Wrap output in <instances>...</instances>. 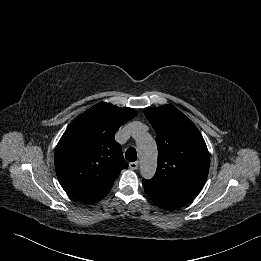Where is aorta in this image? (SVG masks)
<instances>
[{
  "label": "aorta",
  "instance_id": "762f6f07",
  "mask_svg": "<svg viewBox=\"0 0 261 261\" xmlns=\"http://www.w3.org/2000/svg\"><path fill=\"white\" fill-rule=\"evenodd\" d=\"M137 152L140 160V173L143 178L151 179L157 167V146L153 137L139 132L136 137Z\"/></svg>",
  "mask_w": 261,
  "mask_h": 261
}]
</instances>
